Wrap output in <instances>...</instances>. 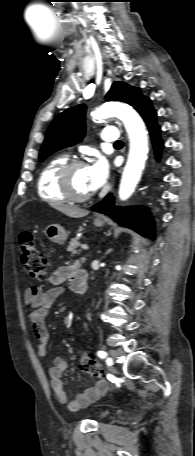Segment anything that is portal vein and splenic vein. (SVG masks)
I'll return each mask as SVG.
<instances>
[{
    "label": "portal vein and splenic vein",
    "mask_w": 195,
    "mask_h": 456,
    "mask_svg": "<svg viewBox=\"0 0 195 456\" xmlns=\"http://www.w3.org/2000/svg\"><path fill=\"white\" fill-rule=\"evenodd\" d=\"M81 248H82L83 250H88L89 247H88L86 244H83V245H81Z\"/></svg>",
    "instance_id": "18ae733b"
}]
</instances>
